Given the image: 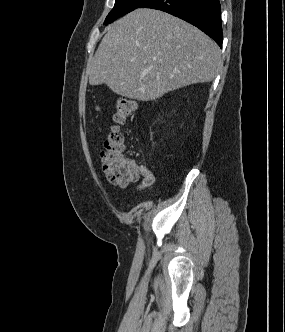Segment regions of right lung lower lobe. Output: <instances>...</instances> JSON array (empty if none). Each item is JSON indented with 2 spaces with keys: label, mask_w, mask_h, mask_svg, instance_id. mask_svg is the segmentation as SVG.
I'll return each mask as SVG.
<instances>
[{
  "label": "right lung lower lobe",
  "mask_w": 285,
  "mask_h": 332,
  "mask_svg": "<svg viewBox=\"0 0 285 332\" xmlns=\"http://www.w3.org/2000/svg\"><path fill=\"white\" fill-rule=\"evenodd\" d=\"M138 8L165 11L198 27L222 47L219 0H146Z\"/></svg>",
  "instance_id": "obj_1"
}]
</instances>
